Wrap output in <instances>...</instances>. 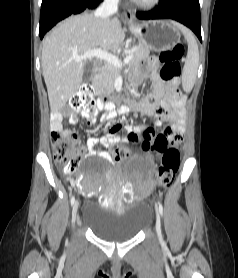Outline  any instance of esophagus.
<instances>
[{
    "label": "esophagus",
    "mask_w": 238,
    "mask_h": 278,
    "mask_svg": "<svg viewBox=\"0 0 238 278\" xmlns=\"http://www.w3.org/2000/svg\"><path fill=\"white\" fill-rule=\"evenodd\" d=\"M125 18L130 24L134 22L133 14L131 13V11L125 12Z\"/></svg>",
    "instance_id": "esophagus-1"
}]
</instances>
